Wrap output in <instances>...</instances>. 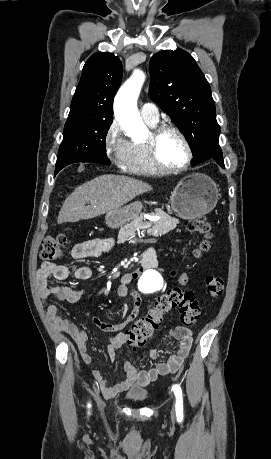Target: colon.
I'll return each instance as SVG.
<instances>
[{"instance_id":"5ec220e1","label":"colon","mask_w":271,"mask_h":459,"mask_svg":"<svg viewBox=\"0 0 271 459\" xmlns=\"http://www.w3.org/2000/svg\"><path fill=\"white\" fill-rule=\"evenodd\" d=\"M187 230L197 233L201 240L194 249V255L199 256L210 247L211 223L202 216L187 222ZM67 238L64 234L46 237L42 241L40 256L45 261H54L63 254ZM206 289L211 297H219L224 290V279L221 276H209L206 279ZM179 309L181 321L186 326L194 325L200 316V309L192 292L173 288L160 296L149 308L146 314L137 320L126 332L127 343L133 349L143 346L159 328L166 313Z\"/></svg>"}]
</instances>
